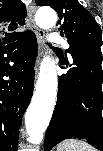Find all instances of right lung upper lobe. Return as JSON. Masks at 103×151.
<instances>
[{
    "label": "right lung upper lobe",
    "instance_id": "right-lung-upper-lobe-1",
    "mask_svg": "<svg viewBox=\"0 0 103 151\" xmlns=\"http://www.w3.org/2000/svg\"><path fill=\"white\" fill-rule=\"evenodd\" d=\"M25 17L26 10L20 0H0V47L18 41L24 35L14 30L24 24Z\"/></svg>",
    "mask_w": 103,
    "mask_h": 151
}]
</instances>
